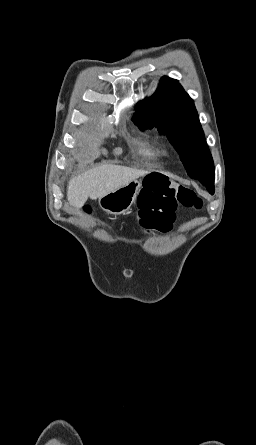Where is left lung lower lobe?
I'll list each match as a JSON object with an SVG mask.
<instances>
[{"label": "left lung lower lobe", "mask_w": 256, "mask_h": 445, "mask_svg": "<svg viewBox=\"0 0 256 445\" xmlns=\"http://www.w3.org/2000/svg\"><path fill=\"white\" fill-rule=\"evenodd\" d=\"M199 180L204 186L207 187V190L213 194L214 193V180L209 179H197Z\"/></svg>", "instance_id": "obj_1"}]
</instances>
